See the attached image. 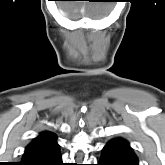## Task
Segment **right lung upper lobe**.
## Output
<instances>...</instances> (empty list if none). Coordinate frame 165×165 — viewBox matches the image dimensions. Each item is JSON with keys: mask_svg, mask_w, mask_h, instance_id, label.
I'll return each instance as SVG.
<instances>
[{"mask_svg": "<svg viewBox=\"0 0 165 165\" xmlns=\"http://www.w3.org/2000/svg\"><path fill=\"white\" fill-rule=\"evenodd\" d=\"M50 134H52V133H49V132L41 133L35 140H37V139H39V138H41V137L50 135ZM35 140H34V141H35Z\"/></svg>", "mask_w": 165, "mask_h": 165, "instance_id": "right-lung-upper-lobe-1", "label": "right lung upper lobe"}]
</instances>
